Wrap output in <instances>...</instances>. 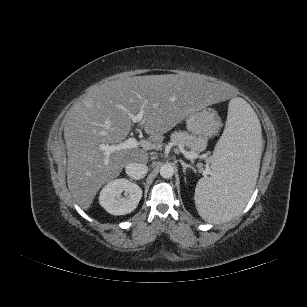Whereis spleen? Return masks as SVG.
Returning <instances> with one entry per match:
<instances>
[{
	"label": "spleen",
	"instance_id": "obj_1",
	"mask_svg": "<svg viewBox=\"0 0 307 307\" xmlns=\"http://www.w3.org/2000/svg\"><path fill=\"white\" fill-rule=\"evenodd\" d=\"M257 115L242 99L229 104L224 132L215 146L209 177L201 178L194 200L200 216L214 224L234 218L255 187L261 154Z\"/></svg>",
	"mask_w": 307,
	"mask_h": 307
}]
</instances>
